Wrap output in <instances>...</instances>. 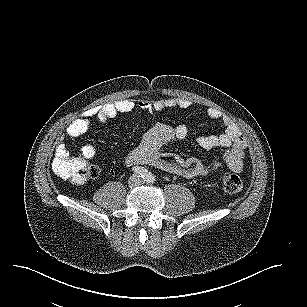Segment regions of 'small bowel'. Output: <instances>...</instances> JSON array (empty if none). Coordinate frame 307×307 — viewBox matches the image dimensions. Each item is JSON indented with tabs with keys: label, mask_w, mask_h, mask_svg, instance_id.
I'll use <instances>...</instances> for the list:
<instances>
[{
	"label": "small bowel",
	"mask_w": 307,
	"mask_h": 307,
	"mask_svg": "<svg viewBox=\"0 0 307 307\" xmlns=\"http://www.w3.org/2000/svg\"><path fill=\"white\" fill-rule=\"evenodd\" d=\"M191 102L184 98H162L154 101H141L135 104L132 100H121L115 103L94 107L85 111L66 129L55 150V160L68 158L70 152L65 140H73L86 133L94 119L106 122L118 114L128 113L136 107L147 113L160 112L170 108H188ZM206 115L211 120L221 122L223 132L219 135L201 136L197 138L198 145L204 150L225 148L223 161L233 171L240 172L244 166L247 142L239 127L229 116L215 108H208ZM188 130L184 125L171 127L156 124L141 139L140 143L128 155L126 163L129 166L149 164L161 170L186 178L206 177L220 166L219 161L203 163L199 159H184L180 156L163 153L161 148L172 141L186 139ZM83 156L91 159L96 155V148L91 144L82 147Z\"/></svg>",
	"instance_id": "small-bowel-1"
}]
</instances>
